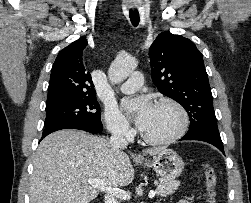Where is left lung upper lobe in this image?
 Masks as SVG:
<instances>
[{
	"instance_id": "left-lung-upper-lobe-1",
	"label": "left lung upper lobe",
	"mask_w": 251,
	"mask_h": 203,
	"mask_svg": "<svg viewBox=\"0 0 251 203\" xmlns=\"http://www.w3.org/2000/svg\"><path fill=\"white\" fill-rule=\"evenodd\" d=\"M149 57L154 85L187 111V133H219L203 56L195 44L181 35L162 32L150 46Z\"/></svg>"
}]
</instances>
